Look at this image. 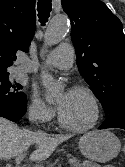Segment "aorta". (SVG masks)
Returning <instances> with one entry per match:
<instances>
[{"label":"aorta","instance_id":"762f6f07","mask_svg":"<svg viewBox=\"0 0 125 167\" xmlns=\"http://www.w3.org/2000/svg\"><path fill=\"white\" fill-rule=\"evenodd\" d=\"M68 30H69V19L66 15H60L54 17L50 21L45 31L44 39L46 45L51 46L62 41L66 36V34L68 33ZM41 80L46 91L45 93L46 100L50 102L60 92L61 87L54 81L53 77L46 72H43L41 74Z\"/></svg>","mask_w":125,"mask_h":167}]
</instances>
